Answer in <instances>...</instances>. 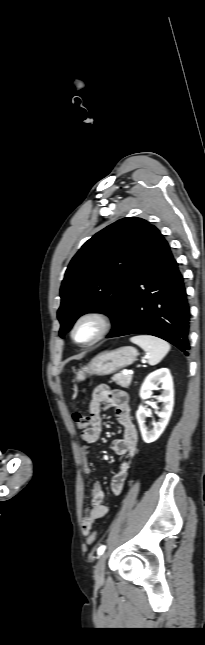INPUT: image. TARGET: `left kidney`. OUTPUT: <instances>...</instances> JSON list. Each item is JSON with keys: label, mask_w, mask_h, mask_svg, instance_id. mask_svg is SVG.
<instances>
[{"label": "left kidney", "mask_w": 205, "mask_h": 645, "mask_svg": "<svg viewBox=\"0 0 205 645\" xmlns=\"http://www.w3.org/2000/svg\"><path fill=\"white\" fill-rule=\"evenodd\" d=\"M159 383L162 384L161 389L163 391L162 394L157 397V400L159 402H163L164 405L162 410L158 413L160 418L159 422L153 425V429L151 431H148L145 425V420L149 416L148 411L143 405H140L136 412V418L145 443H152L160 437L165 430L173 411V380L169 370L166 368L156 370L145 378L140 389V397L142 400L148 399L152 394V390H154Z\"/></svg>", "instance_id": "5707ae66"}]
</instances>
